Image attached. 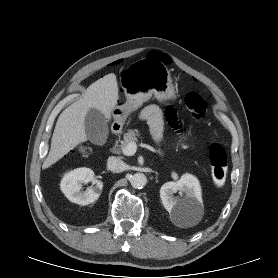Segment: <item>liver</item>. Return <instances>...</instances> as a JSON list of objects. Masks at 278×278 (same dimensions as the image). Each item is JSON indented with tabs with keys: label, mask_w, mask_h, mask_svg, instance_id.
Segmentation results:
<instances>
[{
	"label": "liver",
	"mask_w": 278,
	"mask_h": 278,
	"mask_svg": "<svg viewBox=\"0 0 278 278\" xmlns=\"http://www.w3.org/2000/svg\"><path fill=\"white\" fill-rule=\"evenodd\" d=\"M119 100L116 75L110 73L92 83L82 98L67 107L58 117L51 139V147L42 168L46 169L86 142L85 116L90 108L99 110L111 120Z\"/></svg>",
	"instance_id": "6515ba94"
}]
</instances>
